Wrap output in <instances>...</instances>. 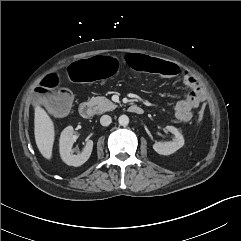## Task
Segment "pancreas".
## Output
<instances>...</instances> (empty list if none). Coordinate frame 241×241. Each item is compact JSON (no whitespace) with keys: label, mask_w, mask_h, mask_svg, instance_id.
Listing matches in <instances>:
<instances>
[{"label":"pancreas","mask_w":241,"mask_h":241,"mask_svg":"<svg viewBox=\"0 0 241 241\" xmlns=\"http://www.w3.org/2000/svg\"><path fill=\"white\" fill-rule=\"evenodd\" d=\"M89 103L95 106V110L97 113L101 114L106 111L114 110L117 105L111 102L109 99L105 97H92L89 100Z\"/></svg>","instance_id":"obj_1"}]
</instances>
